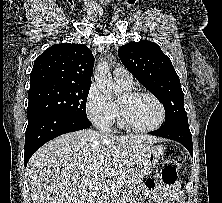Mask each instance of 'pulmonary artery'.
Wrapping results in <instances>:
<instances>
[{
	"label": "pulmonary artery",
	"instance_id": "1",
	"mask_svg": "<svg viewBox=\"0 0 222 203\" xmlns=\"http://www.w3.org/2000/svg\"><path fill=\"white\" fill-rule=\"evenodd\" d=\"M113 78L118 85L125 89L132 87V77L125 68H116L113 71Z\"/></svg>",
	"mask_w": 222,
	"mask_h": 203
}]
</instances>
